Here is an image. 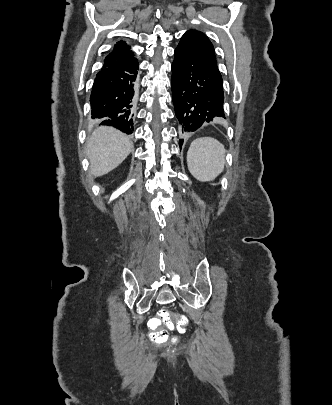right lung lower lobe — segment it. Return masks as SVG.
<instances>
[{
	"label": "right lung lower lobe",
	"instance_id": "obj_1",
	"mask_svg": "<svg viewBox=\"0 0 332 405\" xmlns=\"http://www.w3.org/2000/svg\"><path fill=\"white\" fill-rule=\"evenodd\" d=\"M138 69V61L134 58L119 66L104 67L97 73L90 96L93 119L106 118L103 125L132 133Z\"/></svg>",
	"mask_w": 332,
	"mask_h": 405
}]
</instances>
